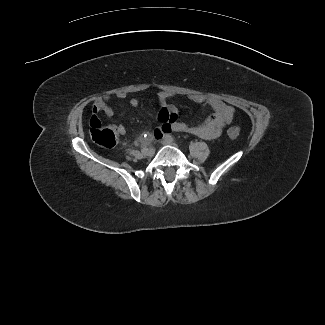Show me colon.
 <instances>
[{"label":"colon","mask_w":325,"mask_h":325,"mask_svg":"<svg viewBox=\"0 0 325 325\" xmlns=\"http://www.w3.org/2000/svg\"><path fill=\"white\" fill-rule=\"evenodd\" d=\"M90 136L92 140L105 148H112L118 140V133L114 128L104 126L96 115H92L89 121ZM227 134L231 138H237L240 134L238 127H229Z\"/></svg>","instance_id":"colon-1"}]
</instances>
